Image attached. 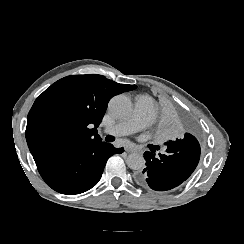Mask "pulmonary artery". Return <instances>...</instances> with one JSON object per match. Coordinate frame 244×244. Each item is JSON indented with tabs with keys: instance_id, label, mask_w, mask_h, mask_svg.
I'll list each match as a JSON object with an SVG mask.
<instances>
[{
	"instance_id": "obj_1",
	"label": "pulmonary artery",
	"mask_w": 244,
	"mask_h": 244,
	"mask_svg": "<svg viewBox=\"0 0 244 244\" xmlns=\"http://www.w3.org/2000/svg\"><path fill=\"white\" fill-rule=\"evenodd\" d=\"M135 113L125 121H119L109 128L112 136H123L139 131L144 126L151 123L156 113V105L149 94H142L138 98Z\"/></svg>"
}]
</instances>
